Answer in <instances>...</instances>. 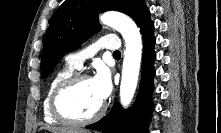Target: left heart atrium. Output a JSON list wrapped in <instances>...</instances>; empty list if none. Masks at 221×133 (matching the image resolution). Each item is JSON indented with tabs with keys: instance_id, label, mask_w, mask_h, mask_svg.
<instances>
[{
	"instance_id": "left-heart-atrium-1",
	"label": "left heart atrium",
	"mask_w": 221,
	"mask_h": 133,
	"mask_svg": "<svg viewBox=\"0 0 221 133\" xmlns=\"http://www.w3.org/2000/svg\"><path fill=\"white\" fill-rule=\"evenodd\" d=\"M94 90L100 100L104 101L111 93L110 75L106 68L101 67L91 79Z\"/></svg>"
}]
</instances>
